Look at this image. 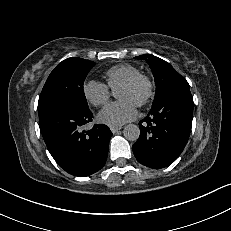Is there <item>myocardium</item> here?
<instances>
[{
	"label": "myocardium",
	"mask_w": 231,
	"mask_h": 231,
	"mask_svg": "<svg viewBox=\"0 0 231 231\" xmlns=\"http://www.w3.org/2000/svg\"><path fill=\"white\" fill-rule=\"evenodd\" d=\"M140 84L145 85V94L136 104L138 107H144L151 102L155 95L154 81L148 75L139 73L128 80L124 81L119 87L133 88Z\"/></svg>",
	"instance_id": "obj_1"
}]
</instances>
